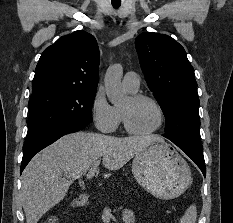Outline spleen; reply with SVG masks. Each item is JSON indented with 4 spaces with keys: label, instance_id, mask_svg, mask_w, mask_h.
<instances>
[{
    "label": "spleen",
    "instance_id": "obj_1",
    "mask_svg": "<svg viewBox=\"0 0 233 223\" xmlns=\"http://www.w3.org/2000/svg\"><path fill=\"white\" fill-rule=\"evenodd\" d=\"M196 217H197V207L195 203H193V205H190V207L186 209L184 215H182L180 219V223H196Z\"/></svg>",
    "mask_w": 233,
    "mask_h": 223
}]
</instances>
